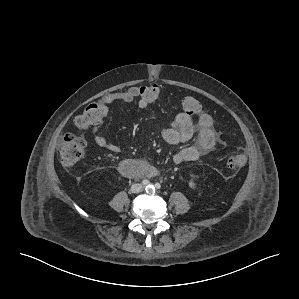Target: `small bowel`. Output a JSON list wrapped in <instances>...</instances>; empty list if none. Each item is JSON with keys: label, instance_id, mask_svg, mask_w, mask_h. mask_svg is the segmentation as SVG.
Here are the masks:
<instances>
[{"label": "small bowel", "instance_id": "1", "mask_svg": "<svg viewBox=\"0 0 299 299\" xmlns=\"http://www.w3.org/2000/svg\"><path fill=\"white\" fill-rule=\"evenodd\" d=\"M138 88L130 87L124 91L111 92L100 98L102 118L92 128L94 141L99 147L114 153L120 152L119 146L101 135L100 129L107 118L109 106L113 103H132L137 101L138 106L142 109H146L149 106L147 101L140 96ZM162 137L169 144L185 143L195 138V142L192 145L184 147L173 155L172 163L174 164L196 161L210 152L220 142V134L213 128L212 117L202 110L197 114L195 121L183 112L178 113L169 126L163 129ZM141 163L143 172L140 176L152 177L160 172L159 168L151 164Z\"/></svg>", "mask_w": 299, "mask_h": 299}]
</instances>
